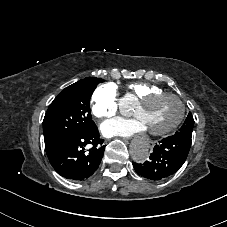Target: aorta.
I'll return each mask as SVG.
<instances>
[{
    "mask_svg": "<svg viewBox=\"0 0 227 227\" xmlns=\"http://www.w3.org/2000/svg\"><path fill=\"white\" fill-rule=\"evenodd\" d=\"M130 155L134 162L144 163L149 156V145L146 141L139 140L132 144Z\"/></svg>",
    "mask_w": 227,
    "mask_h": 227,
    "instance_id": "1",
    "label": "aorta"
}]
</instances>
